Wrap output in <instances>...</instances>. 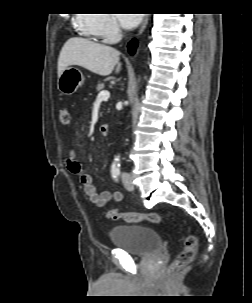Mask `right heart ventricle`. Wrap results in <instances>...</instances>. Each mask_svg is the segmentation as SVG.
Segmentation results:
<instances>
[{
	"instance_id": "right-heart-ventricle-1",
	"label": "right heart ventricle",
	"mask_w": 252,
	"mask_h": 303,
	"mask_svg": "<svg viewBox=\"0 0 252 303\" xmlns=\"http://www.w3.org/2000/svg\"><path fill=\"white\" fill-rule=\"evenodd\" d=\"M91 16L93 15L81 14L78 20L88 35L93 37H99V35L94 31V29L90 25Z\"/></svg>"
}]
</instances>
